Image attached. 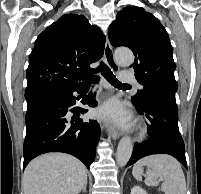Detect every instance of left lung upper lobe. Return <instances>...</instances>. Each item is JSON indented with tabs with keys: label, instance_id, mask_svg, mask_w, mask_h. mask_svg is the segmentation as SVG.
Returning a JSON list of instances; mask_svg holds the SVG:
<instances>
[{
	"label": "left lung upper lobe",
	"instance_id": "obj_1",
	"mask_svg": "<svg viewBox=\"0 0 201 194\" xmlns=\"http://www.w3.org/2000/svg\"><path fill=\"white\" fill-rule=\"evenodd\" d=\"M108 37L114 47H129L135 55L130 67L143 86L132 97L136 106L157 95L175 99L178 83L174 77L173 48L167 31L154 15L141 7L127 6L109 26Z\"/></svg>",
	"mask_w": 201,
	"mask_h": 194
}]
</instances>
